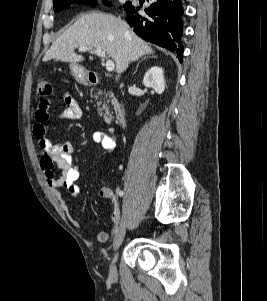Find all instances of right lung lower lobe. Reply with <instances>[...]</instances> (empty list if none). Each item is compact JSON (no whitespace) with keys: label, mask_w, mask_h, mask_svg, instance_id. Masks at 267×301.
<instances>
[{"label":"right lung lower lobe","mask_w":267,"mask_h":301,"mask_svg":"<svg viewBox=\"0 0 267 301\" xmlns=\"http://www.w3.org/2000/svg\"><path fill=\"white\" fill-rule=\"evenodd\" d=\"M149 6L144 12L130 2L124 6L126 20L134 32L151 43L176 52L181 60L183 48L181 37L183 32L182 0H148Z\"/></svg>","instance_id":"1"}]
</instances>
